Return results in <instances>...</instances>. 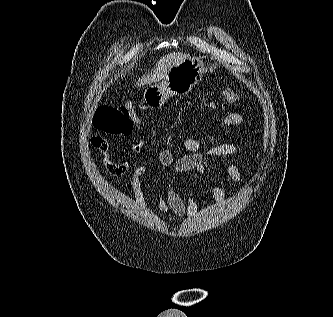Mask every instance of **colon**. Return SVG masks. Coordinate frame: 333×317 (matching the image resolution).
<instances>
[{
	"mask_svg": "<svg viewBox=\"0 0 333 317\" xmlns=\"http://www.w3.org/2000/svg\"><path fill=\"white\" fill-rule=\"evenodd\" d=\"M222 100L226 104H234L239 95L227 89L222 94ZM135 123H139V117L130 102L121 106H100L93 117V125L98 131L115 136L130 135Z\"/></svg>",
	"mask_w": 333,
	"mask_h": 317,
	"instance_id": "obj_1",
	"label": "colon"
}]
</instances>
